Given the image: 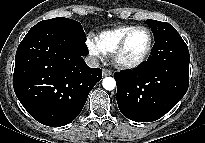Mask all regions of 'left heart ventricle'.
Wrapping results in <instances>:
<instances>
[{"mask_svg":"<svg viewBox=\"0 0 205 143\" xmlns=\"http://www.w3.org/2000/svg\"><path fill=\"white\" fill-rule=\"evenodd\" d=\"M149 42L148 34L145 30L139 29L129 37L124 51L120 56L123 62L137 61L146 51Z\"/></svg>","mask_w":205,"mask_h":143,"instance_id":"left-heart-ventricle-1","label":"left heart ventricle"}]
</instances>
